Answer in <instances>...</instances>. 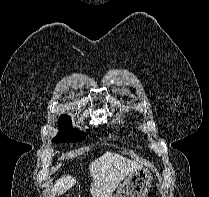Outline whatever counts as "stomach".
<instances>
[{"label":"stomach","instance_id":"0dacf381","mask_svg":"<svg viewBox=\"0 0 209 197\" xmlns=\"http://www.w3.org/2000/svg\"><path fill=\"white\" fill-rule=\"evenodd\" d=\"M152 179L151 172L141 167L128 175L118 192L110 197H146Z\"/></svg>","mask_w":209,"mask_h":197}]
</instances>
